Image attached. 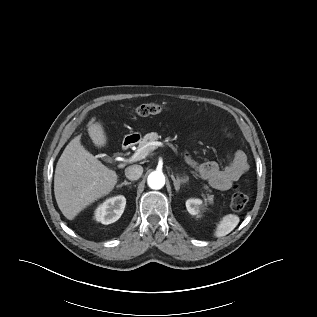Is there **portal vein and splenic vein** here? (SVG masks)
Wrapping results in <instances>:
<instances>
[{"mask_svg":"<svg viewBox=\"0 0 317 317\" xmlns=\"http://www.w3.org/2000/svg\"><path fill=\"white\" fill-rule=\"evenodd\" d=\"M163 146L162 142L159 141H154V142H149L147 145H145L144 147L138 149L131 157L130 161H138V160H142L144 159L148 153L146 152V149L148 147H150L152 150Z\"/></svg>","mask_w":317,"mask_h":317,"instance_id":"18ae733b","label":"portal vein and splenic vein"}]
</instances>
